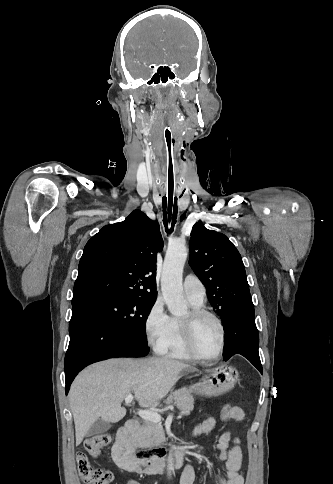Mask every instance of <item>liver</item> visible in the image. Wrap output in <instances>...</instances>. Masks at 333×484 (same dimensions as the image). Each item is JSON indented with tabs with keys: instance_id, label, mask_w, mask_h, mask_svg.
Listing matches in <instances>:
<instances>
[{
	"instance_id": "liver-1",
	"label": "liver",
	"mask_w": 333,
	"mask_h": 484,
	"mask_svg": "<svg viewBox=\"0 0 333 484\" xmlns=\"http://www.w3.org/2000/svg\"><path fill=\"white\" fill-rule=\"evenodd\" d=\"M195 371L191 364L159 357L118 358L90 365L75 378L68 395L76 446L96 420H121L126 415L121 404L127 395L134 393L142 407H157L181 373Z\"/></svg>"
}]
</instances>
